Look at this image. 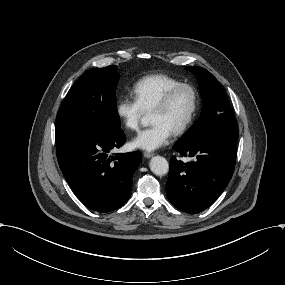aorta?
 I'll return each mask as SVG.
<instances>
[{"instance_id":"1","label":"aorta","mask_w":285,"mask_h":285,"mask_svg":"<svg viewBox=\"0 0 285 285\" xmlns=\"http://www.w3.org/2000/svg\"><path fill=\"white\" fill-rule=\"evenodd\" d=\"M151 171L158 175L163 176L169 171V163L162 156H155L150 160Z\"/></svg>"}]
</instances>
